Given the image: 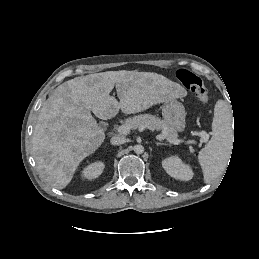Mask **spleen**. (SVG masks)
I'll return each mask as SVG.
<instances>
[{
    "label": "spleen",
    "mask_w": 259,
    "mask_h": 259,
    "mask_svg": "<svg viewBox=\"0 0 259 259\" xmlns=\"http://www.w3.org/2000/svg\"><path fill=\"white\" fill-rule=\"evenodd\" d=\"M231 125L232 114L228 103L218 100L214 108L213 135L198 155L205 183H210L218 178L227 166L234 135Z\"/></svg>",
    "instance_id": "1"
}]
</instances>
